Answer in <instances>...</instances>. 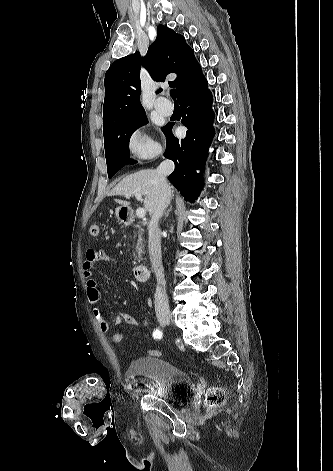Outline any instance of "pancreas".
<instances>
[{"label":"pancreas","instance_id":"cf45deb5","mask_svg":"<svg viewBox=\"0 0 333 471\" xmlns=\"http://www.w3.org/2000/svg\"><path fill=\"white\" fill-rule=\"evenodd\" d=\"M134 227L137 229L134 231V239H138L135 249L138 253H141L144 247L143 229L138 224L134 225Z\"/></svg>","mask_w":333,"mask_h":471}]
</instances>
